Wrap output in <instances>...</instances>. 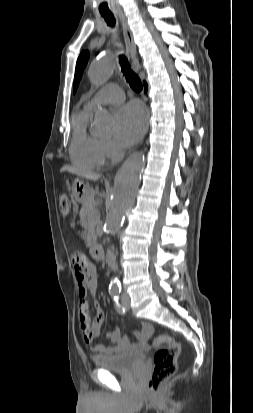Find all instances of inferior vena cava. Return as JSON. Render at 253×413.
I'll return each instance as SVG.
<instances>
[{
    "label": "inferior vena cava",
    "mask_w": 253,
    "mask_h": 413,
    "mask_svg": "<svg viewBox=\"0 0 253 413\" xmlns=\"http://www.w3.org/2000/svg\"><path fill=\"white\" fill-rule=\"evenodd\" d=\"M107 257H108V265L109 267L115 271L117 269L116 257L111 250H107Z\"/></svg>",
    "instance_id": "1"
}]
</instances>
